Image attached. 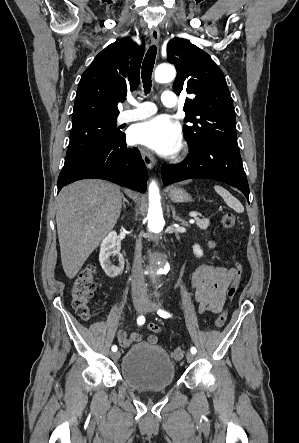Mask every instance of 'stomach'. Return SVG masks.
Masks as SVG:
<instances>
[{
    "label": "stomach",
    "instance_id": "0dacf381",
    "mask_svg": "<svg viewBox=\"0 0 299 443\" xmlns=\"http://www.w3.org/2000/svg\"><path fill=\"white\" fill-rule=\"evenodd\" d=\"M169 197L174 202H186L191 199L190 195L185 190L176 187L170 188Z\"/></svg>",
    "mask_w": 299,
    "mask_h": 443
}]
</instances>
